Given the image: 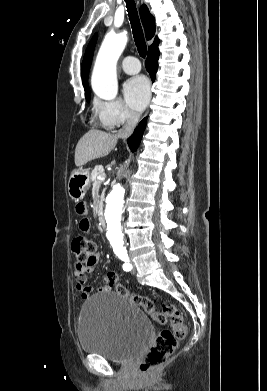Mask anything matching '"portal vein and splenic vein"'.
<instances>
[{
  "label": "portal vein and splenic vein",
  "mask_w": 267,
  "mask_h": 391,
  "mask_svg": "<svg viewBox=\"0 0 267 391\" xmlns=\"http://www.w3.org/2000/svg\"><path fill=\"white\" fill-rule=\"evenodd\" d=\"M105 178H106L105 173H103L102 175L98 176V179L101 180V181L105 180Z\"/></svg>",
  "instance_id": "1"
}]
</instances>
